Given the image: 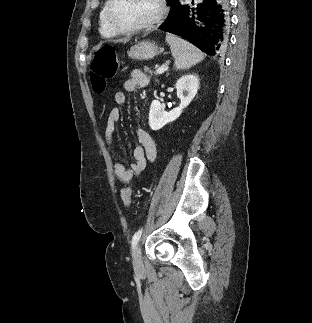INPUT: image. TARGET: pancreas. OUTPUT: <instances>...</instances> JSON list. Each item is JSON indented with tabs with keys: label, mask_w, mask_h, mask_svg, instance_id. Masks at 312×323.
<instances>
[{
	"label": "pancreas",
	"mask_w": 312,
	"mask_h": 323,
	"mask_svg": "<svg viewBox=\"0 0 312 323\" xmlns=\"http://www.w3.org/2000/svg\"><path fill=\"white\" fill-rule=\"evenodd\" d=\"M144 72H148V74H155V72H152L150 68H144Z\"/></svg>",
	"instance_id": "pancreas-1"
}]
</instances>
